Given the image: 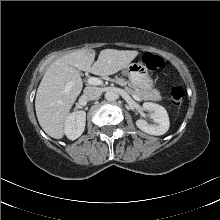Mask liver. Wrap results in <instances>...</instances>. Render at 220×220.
I'll use <instances>...</instances> for the list:
<instances>
[{"mask_svg": "<svg viewBox=\"0 0 220 220\" xmlns=\"http://www.w3.org/2000/svg\"><path fill=\"white\" fill-rule=\"evenodd\" d=\"M138 54L135 50L104 49L94 62V50L79 49L54 61L35 98L37 119L45 133L55 139L63 138L66 118L83 88L80 70L98 76L112 75L126 68ZM68 83L72 86L66 92Z\"/></svg>", "mask_w": 220, "mask_h": 220, "instance_id": "6515ba94", "label": "liver"}]
</instances>
